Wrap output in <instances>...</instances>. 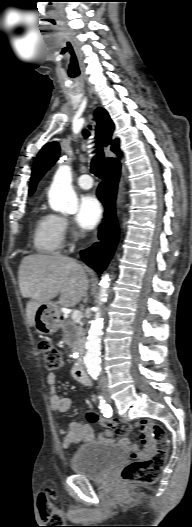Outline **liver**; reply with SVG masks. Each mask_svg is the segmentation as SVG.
I'll use <instances>...</instances> for the list:
<instances>
[{
  "instance_id": "1",
  "label": "liver",
  "mask_w": 192,
  "mask_h": 527,
  "mask_svg": "<svg viewBox=\"0 0 192 527\" xmlns=\"http://www.w3.org/2000/svg\"><path fill=\"white\" fill-rule=\"evenodd\" d=\"M29 326L35 325V314L42 303L60 294L59 304L73 307L86 295L89 287L87 270L75 259L61 255L32 254L25 256L18 272Z\"/></svg>"
}]
</instances>
